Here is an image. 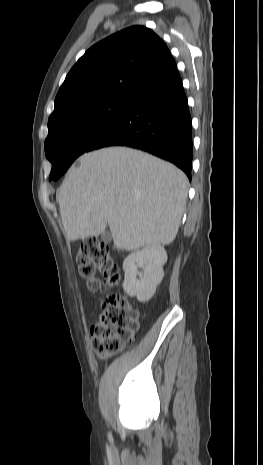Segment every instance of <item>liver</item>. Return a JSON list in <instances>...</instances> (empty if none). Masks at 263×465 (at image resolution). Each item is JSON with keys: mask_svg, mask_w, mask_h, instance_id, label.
<instances>
[{"mask_svg": "<svg viewBox=\"0 0 263 465\" xmlns=\"http://www.w3.org/2000/svg\"><path fill=\"white\" fill-rule=\"evenodd\" d=\"M60 189L59 206L69 241L102 234L107 225L117 249L168 245L183 215L188 179L148 153L109 147L86 153Z\"/></svg>", "mask_w": 263, "mask_h": 465, "instance_id": "liver-1", "label": "liver"}]
</instances>
